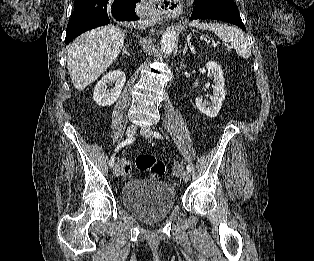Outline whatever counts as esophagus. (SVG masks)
I'll list each match as a JSON object with an SVG mask.
<instances>
[{
    "instance_id": "34e87169",
    "label": "esophagus",
    "mask_w": 314,
    "mask_h": 261,
    "mask_svg": "<svg viewBox=\"0 0 314 261\" xmlns=\"http://www.w3.org/2000/svg\"><path fill=\"white\" fill-rule=\"evenodd\" d=\"M180 11H181V6L179 4L169 3V6L167 8H164V9L161 8L160 10H158V14H161L164 16H170V15L180 13Z\"/></svg>"
}]
</instances>
